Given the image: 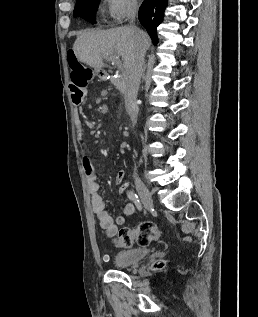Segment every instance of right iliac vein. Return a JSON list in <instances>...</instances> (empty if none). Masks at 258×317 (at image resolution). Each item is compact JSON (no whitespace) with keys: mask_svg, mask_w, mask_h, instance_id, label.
<instances>
[{"mask_svg":"<svg viewBox=\"0 0 258 317\" xmlns=\"http://www.w3.org/2000/svg\"><path fill=\"white\" fill-rule=\"evenodd\" d=\"M135 187L138 191L139 197L142 199V204L144 209L150 210L154 207L153 197L151 192H149L148 187H146L143 182L137 180L135 182Z\"/></svg>","mask_w":258,"mask_h":317,"instance_id":"obj_1","label":"right iliac vein"}]
</instances>
